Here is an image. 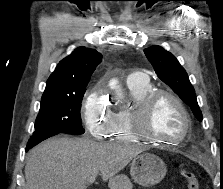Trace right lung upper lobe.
<instances>
[{
	"instance_id": "1",
	"label": "right lung upper lobe",
	"mask_w": 223,
	"mask_h": 189,
	"mask_svg": "<svg viewBox=\"0 0 223 189\" xmlns=\"http://www.w3.org/2000/svg\"><path fill=\"white\" fill-rule=\"evenodd\" d=\"M101 60L102 55L98 51L83 46L78 47L59 62L47 80L44 94L74 93L86 88Z\"/></svg>"
}]
</instances>
